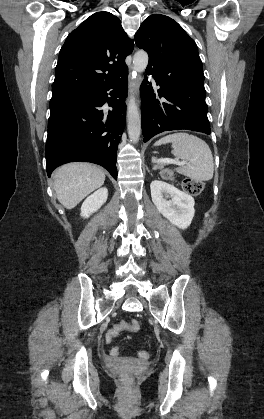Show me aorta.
Wrapping results in <instances>:
<instances>
[{
  "label": "aorta",
  "mask_w": 264,
  "mask_h": 419,
  "mask_svg": "<svg viewBox=\"0 0 264 419\" xmlns=\"http://www.w3.org/2000/svg\"><path fill=\"white\" fill-rule=\"evenodd\" d=\"M149 57L145 51H138L133 57V79L139 73H142L148 65ZM135 83H131L130 95L128 97V106H127V129L130 141L133 143L138 142L141 133V119L136 105V100L134 96Z\"/></svg>",
  "instance_id": "aorta-1"
}]
</instances>
